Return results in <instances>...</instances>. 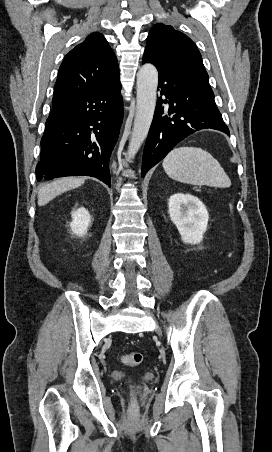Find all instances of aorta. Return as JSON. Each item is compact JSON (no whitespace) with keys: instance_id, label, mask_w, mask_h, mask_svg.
I'll list each match as a JSON object with an SVG mask.
<instances>
[{"instance_id":"762f6f07","label":"aorta","mask_w":272,"mask_h":452,"mask_svg":"<svg viewBox=\"0 0 272 452\" xmlns=\"http://www.w3.org/2000/svg\"><path fill=\"white\" fill-rule=\"evenodd\" d=\"M158 86V72L153 64H144L137 73V106L128 157L133 158L147 137L152 123Z\"/></svg>"}]
</instances>
